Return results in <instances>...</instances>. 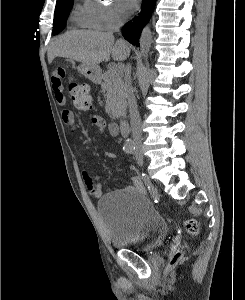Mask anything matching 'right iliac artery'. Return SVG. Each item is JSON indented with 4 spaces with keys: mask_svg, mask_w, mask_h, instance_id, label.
Masks as SVG:
<instances>
[{
    "mask_svg": "<svg viewBox=\"0 0 245 300\" xmlns=\"http://www.w3.org/2000/svg\"><path fill=\"white\" fill-rule=\"evenodd\" d=\"M123 149L128 154H134V151H135V147L133 145H128V146L124 147Z\"/></svg>",
    "mask_w": 245,
    "mask_h": 300,
    "instance_id": "obj_1",
    "label": "right iliac artery"
}]
</instances>
